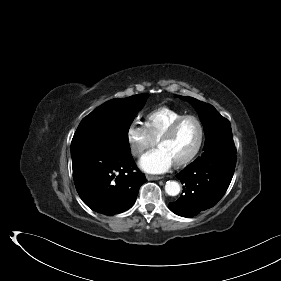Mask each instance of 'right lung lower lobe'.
Returning a JSON list of instances; mask_svg holds the SVG:
<instances>
[{
    "label": "right lung lower lobe",
    "mask_w": 281,
    "mask_h": 281,
    "mask_svg": "<svg viewBox=\"0 0 281 281\" xmlns=\"http://www.w3.org/2000/svg\"><path fill=\"white\" fill-rule=\"evenodd\" d=\"M76 190L92 210L104 215L122 213L133 206L147 180L130 151L88 153L72 158Z\"/></svg>",
    "instance_id": "obj_1"
}]
</instances>
